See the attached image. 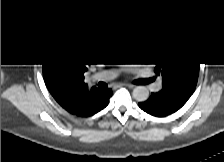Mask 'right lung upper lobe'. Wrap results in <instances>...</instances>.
<instances>
[{
    "label": "right lung upper lobe",
    "instance_id": "right-lung-upper-lobe-1",
    "mask_svg": "<svg viewBox=\"0 0 224 162\" xmlns=\"http://www.w3.org/2000/svg\"><path fill=\"white\" fill-rule=\"evenodd\" d=\"M83 60L63 52L54 59V63L43 66V76L49 92L64 109L86 117L97 113L112 91L88 88L83 74L91 65L92 58L84 56Z\"/></svg>",
    "mask_w": 224,
    "mask_h": 162
}]
</instances>
